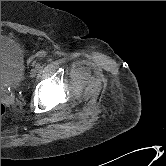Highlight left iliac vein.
<instances>
[{"label": "left iliac vein", "instance_id": "1", "mask_svg": "<svg viewBox=\"0 0 166 166\" xmlns=\"http://www.w3.org/2000/svg\"><path fill=\"white\" fill-rule=\"evenodd\" d=\"M37 74V69L36 68H33L31 71H30V76L31 77H35Z\"/></svg>", "mask_w": 166, "mask_h": 166}]
</instances>
